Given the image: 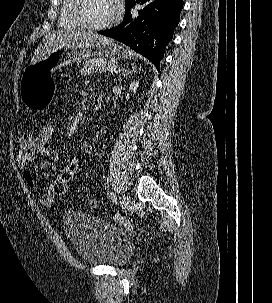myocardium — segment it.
Masks as SVG:
<instances>
[{
    "mask_svg": "<svg viewBox=\"0 0 272 303\" xmlns=\"http://www.w3.org/2000/svg\"><path fill=\"white\" fill-rule=\"evenodd\" d=\"M85 0H72V4L70 7V16L71 18L77 22L81 27L88 29V30H93V31H99V30H104L107 29L111 26H113L118 18V13H115V15L107 22L103 24H92L88 22L84 16L82 15L81 9L84 4Z\"/></svg>",
    "mask_w": 272,
    "mask_h": 303,
    "instance_id": "obj_1",
    "label": "myocardium"
}]
</instances>
